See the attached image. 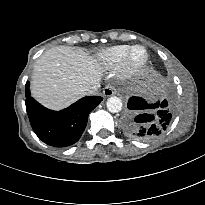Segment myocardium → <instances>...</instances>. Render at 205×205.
<instances>
[{
  "label": "myocardium",
  "mask_w": 205,
  "mask_h": 205,
  "mask_svg": "<svg viewBox=\"0 0 205 205\" xmlns=\"http://www.w3.org/2000/svg\"><path fill=\"white\" fill-rule=\"evenodd\" d=\"M137 49H142L144 51V57L140 61L133 60V53ZM149 61V53L146 47L143 45H134L132 46L125 57L121 61L120 65V76L123 79H131L139 75L144 68L147 66Z\"/></svg>",
  "instance_id": "obj_1"
}]
</instances>
